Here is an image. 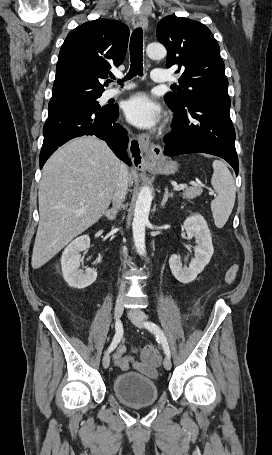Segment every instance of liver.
Segmentation results:
<instances>
[{
  "mask_svg": "<svg viewBox=\"0 0 272 455\" xmlns=\"http://www.w3.org/2000/svg\"><path fill=\"white\" fill-rule=\"evenodd\" d=\"M120 166L106 143L91 136L69 141L49 158L39 186L33 269L45 265L101 218L111 202Z\"/></svg>",
  "mask_w": 272,
  "mask_h": 455,
  "instance_id": "liver-1",
  "label": "liver"
}]
</instances>
